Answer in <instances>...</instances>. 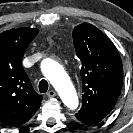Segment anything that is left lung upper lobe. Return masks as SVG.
Masks as SVG:
<instances>
[{"label": "left lung upper lobe", "instance_id": "1", "mask_svg": "<svg viewBox=\"0 0 133 133\" xmlns=\"http://www.w3.org/2000/svg\"><path fill=\"white\" fill-rule=\"evenodd\" d=\"M82 63V107L77 114L101 121L114 108L121 92L123 67L111 40L98 28L83 23L73 30Z\"/></svg>", "mask_w": 133, "mask_h": 133}]
</instances>
